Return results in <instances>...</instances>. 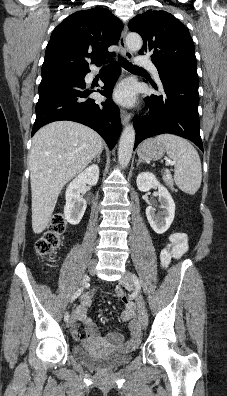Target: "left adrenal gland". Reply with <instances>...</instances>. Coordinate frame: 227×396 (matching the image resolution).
Segmentation results:
<instances>
[{
  "instance_id": "a2214340",
  "label": "left adrenal gland",
  "mask_w": 227,
  "mask_h": 396,
  "mask_svg": "<svg viewBox=\"0 0 227 396\" xmlns=\"http://www.w3.org/2000/svg\"><path fill=\"white\" fill-rule=\"evenodd\" d=\"M141 162H143L141 159H139L138 160V163H137V167H138V165L141 163Z\"/></svg>"
}]
</instances>
